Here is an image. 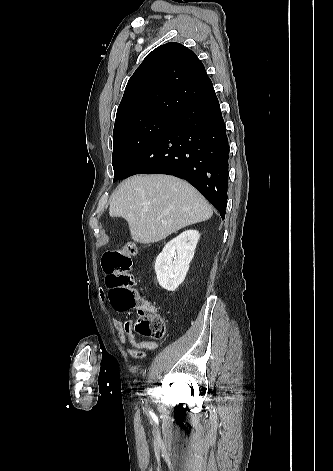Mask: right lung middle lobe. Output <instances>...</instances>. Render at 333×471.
Instances as JSON below:
<instances>
[{
    "instance_id": "dd1d6c3e",
    "label": "right lung middle lobe",
    "mask_w": 333,
    "mask_h": 471,
    "mask_svg": "<svg viewBox=\"0 0 333 471\" xmlns=\"http://www.w3.org/2000/svg\"><path fill=\"white\" fill-rule=\"evenodd\" d=\"M174 115L145 112L115 121L113 131V182L117 181L143 149L174 120Z\"/></svg>"
}]
</instances>
